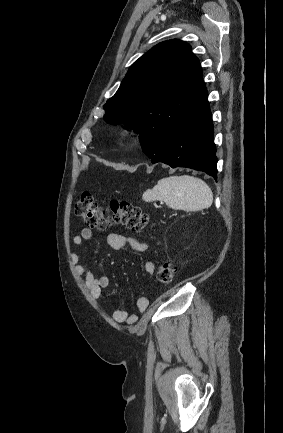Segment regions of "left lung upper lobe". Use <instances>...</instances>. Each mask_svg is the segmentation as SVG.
Returning <instances> with one entry per match:
<instances>
[{"instance_id": "obj_1", "label": "left lung upper lobe", "mask_w": 283, "mask_h": 433, "mask_svg": "<svg viewBox=\"0 0 283 433\" xmlns=\"http://www.w3.org/2000/svg\"><path fill=\"white\" fill-rule=\"evenodd\" d=\"M202 70L181 40L159 43L128 70L116 94L104 105V120L140 133L141 145L153 127L174 124L203 107Z\"/></svg>"}]
</instances>
